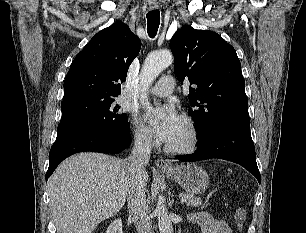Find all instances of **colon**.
<instances>
[{"mask_svg": "<svg viewBox=\"0 0 306 233\" xmlns=\"http://www.w3.org/2000/svg\"><path fill=\"white\" fill-rule=\"evenodd\" d=\"M246 214V210L243 207L236 208L234 212V220L239 232H241L243 228L244 222L246 220Z\"/></svg>", "mask_w": 306, "mask_h": 233, "instance_id": "colon-1", "label": "colon"}]
</instances>
